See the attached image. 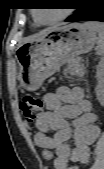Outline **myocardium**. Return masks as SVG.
Here are the masks:
<instances>
[{
    "mask_svg": "<svg viewBox=\"0 0 104 169\" xmlns=\"http://www.w3.org/2000/svg\"><path fill=\"white\" fill-rule=\"evenodd\" d=\"M67 16H68V10H64V12H62L57 18H55V19H53V20H51V21L42 22V21H40V20L37 18L36 14L33 13L34 20H35L36 22L40 23V24H43V25L55 24V23H57V22L62 21L63 19H65Z\"/></svg>",
    "mask_w": 104,
    "mask_h": 169,
    "instance_id": "1",
    "label": "myocardium"
}]
</instances>
